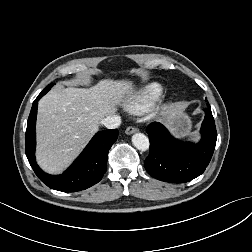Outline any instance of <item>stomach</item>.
<instances>
[{
	"mask_svg": "<svg viewBox=\"0 0 252 252\" xmlns=\"http://www.w3.org/2000/svg\"><path fill=\"white\" fill-rule=\"evenodd\" d=\"M168 127L177 137H184L190 134L191 120L190 117L184 112L181 105H172L167 113Z\"/></svg>",
	"mask_w": 252,
	"mask_h": 252,
	"instance_id": "0dacf381",
	"label": "stomach"
}]
</instances>
